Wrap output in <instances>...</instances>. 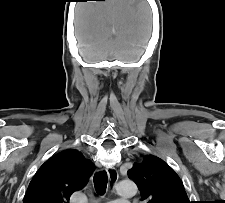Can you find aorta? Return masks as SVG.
<instances>
[{
    "mask_svg": "<svg viewBox=\"0 0 225 203\" xmlns=\"http://www.w3.org/2000/svg\"><path fill=\"white\" fill-rule=\"evenodd\" d=\"M116 191L122 197L134 196L137 186L132 180H122L117 183Z\"/></svg>",
    "mask_w": 225,
    "mask_h": 203,
    "instance_id": "762f6f07",
    "label": "aorta"
}]
</instances>
